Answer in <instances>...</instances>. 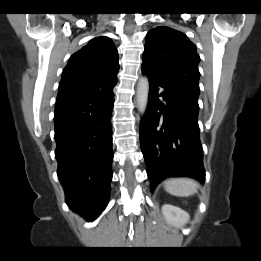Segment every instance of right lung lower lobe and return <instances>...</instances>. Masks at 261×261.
Returning a JSON list of instances; mask_svg holds the SVG:
<instances>
[{
	"instance_id": "1",
	"label": "right lung lower lobe",
	"mask_w": 261,
	"mask_h": 261,
	"mask_svg": "<svg viewBox=\"0 0 261 261\" xmlns=\"http://www.w3.org/2000/svg\"><path fill=\"white\" fill-rule=\"evenodd\" d=\"M113 87L57 99L54 126L58 178L69 207L88 220L106 207L112 179Z\"/></svg>"
}]
</instances>
